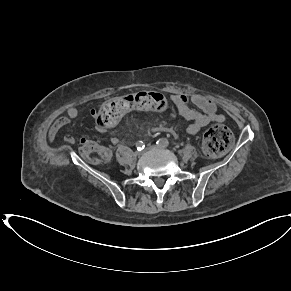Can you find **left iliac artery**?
<instances>
[{
    "mask_svg": "<svg viewBox=\"0 0 291 291\" xmlns=\"http://www.w3.org/2000/svg\"><path fill=\"white\" fill-rule=\"evenodd\" d=\"M156 144L160 147H167L169 145V141L165 138L159 139Z\"/></svg>",
    "mask_w": 291,
    "mask_h": 291,
    "instance_id": "1",
    "label": "left iliac artery"
}]
</instances>
